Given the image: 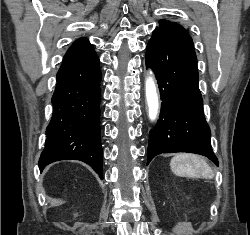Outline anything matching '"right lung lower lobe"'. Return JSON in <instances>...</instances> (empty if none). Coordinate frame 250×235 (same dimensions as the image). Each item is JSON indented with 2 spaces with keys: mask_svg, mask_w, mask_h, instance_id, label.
Instances as JSON below:
<instances>
[{
  "mask_svg": "<svg viewBox=\"0 0 250 235\" xmlns=\"http://www.w3.org/2000/svg\"><path fill=\"white\" fill-rule=\"evenodd\" d=\"M99 58L88 40L74 43L57 72L53 116L39 168L59 160H80L103 179L100 142Z\"/></svg>",
  "mask_w": 250,
  "mask_h": 235,
  "instance_id": "98d812e1",
  "label": "right lung lower lobe"
}]
</instances>
